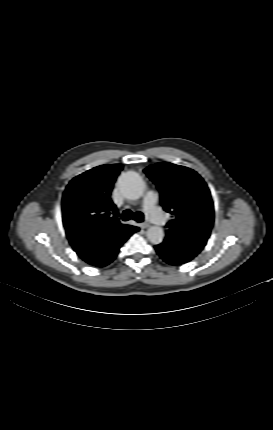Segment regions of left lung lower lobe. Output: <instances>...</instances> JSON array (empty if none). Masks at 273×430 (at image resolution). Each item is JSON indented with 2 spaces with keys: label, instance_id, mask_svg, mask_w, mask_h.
Instances as JSON below:
<instances>
[{
  "label": "left lung lower lobe",
  "instance_id": "0a47b994",
  "mask_svg": "<svg viewBox=\"0 0 273 430\" xmlns=\"http://www.w3.org/2000/svg\"><path fill=\"white\" fill-rule=\"evenodd\" d=\"M155 249L160 257L170 265H180L190 261L178 252L172 240L168 237L161 244L156 245Z\"/></svg>",
  "mask_w": 273,
  "mask_h": 430
}]
</instances>
